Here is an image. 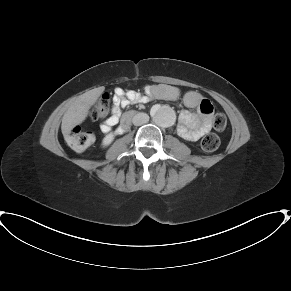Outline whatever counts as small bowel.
Instances as JSON below:
<instances>
[{
  "label": "small bowel",
  "mask_w": 291,
  "mask_h": 291,
  "mask_svg": "<svg viewBox=\"0 0 291 291\" xmlns=\"http://www.w3.org/2000/svg\"><path fill=\"white\" fill-rule=\"evenodd\" d=\"M179 97V89L168 84L146 87L145 94L134 90L124 91L116 88L113 96L112 114L102 124L101 129L104 132L112 131L113 127L120 120L122 108L130 104L144 102L152 98L175 101ZM183 103L189 109L195 110L196 113L188 110L181 111L177 124V132L185 140L197 141L211 130L212 117L207 113L210 102L200 92L191 90L184 94ZM117 132H119V129H117Z\"/></svg>",
  "instance_id": "1"
}]
</instances>
